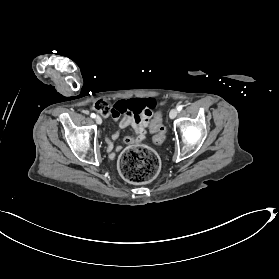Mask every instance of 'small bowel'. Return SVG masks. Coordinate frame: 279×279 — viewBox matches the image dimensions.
Instances as JSON below:
<instances>
[{
  "label": "small bowel",
  "mask_w": 279,
  "mask_h": 279,
  "mask_svg": "<svg viewBox=\"0 0 279 279\" xmlns=\"http://www.w3.org/2000/svg\"><path fill=\"white\" fill-rule=\"evenodd\" d=\"M118 102L119 103H123ZM111 115L118 119L121 115L118 111H114L111 113ZM152 116L151 111H146L141 114H126L119 122V127L121 129L126 127H131L134 131V134L132 136H128L123 139V143L125 145H133L142 142L145 139L146 136V130L149 124V119ZM120 136L119 132L114 133L111 137H107V151L109 153V156L113 158L115 156V151H120L122 149V146L116 141L118 140Z\"/></svg>",
  "instance_id": "1"
}]
</instances>
